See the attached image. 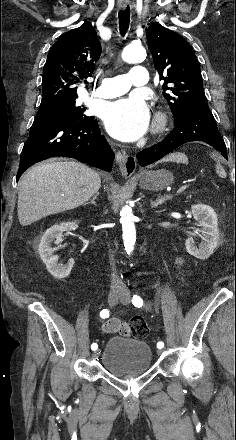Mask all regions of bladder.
I'll use <instances>...</instances> for the list:
<instances>
[{
  "label": "bladder",
  "instance_id": "1",
  "mask_svg": "<svg viewBox=\"0 0 236 440\" xmlns=\"http://www.w3.org/2000/svg\"><path fill=\"white\" fill-rule=\"evenodd\" d=\"M103 367L124 377L147 372L152 367V350L148 343L123 336L109 339L101 353Z\"/></svg>",
  "mask_w": 236,
  "mask_h": 440
}]
</instances>
